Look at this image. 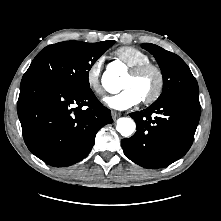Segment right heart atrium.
Here are the masks:
<instances>
[{
	"instance_id": "right-heart-atrium-1",
	"label": "right heart atrium",
	"mask_w": 221,
	"mask_h": 221,
	"mask_svg": "<svg viewBox=\"0 0 221 221\" xmlns=\"http://www.w3.org/2000/svg\"><path fill=\"white\" fill-rule=\"evenodd\" d=\"M104 63V57L98 56L95 60H93L85 72V78L88 87L95 93V94H102L103 88L101 85V73L102 67Z\"/></svg>"
}]
</instances>
